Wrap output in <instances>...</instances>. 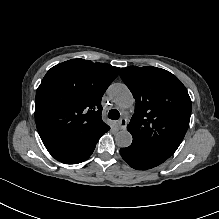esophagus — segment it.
<instances>
[{
	"label": "esophagus",
	"mask_w": 219,
	"mask_h": 219,
	"mask_svg": "<svg viewBox=\"0 0 219 219\" xmlns=\"http://www.w3.org/2000/svg\"><path fill=\"white\" fill-rule=\"evenodd\" d=\"M127 126V120L125 118H122L119 122H118V127L121 130L126 129Z\"/></svg>",
	"instance_id": "obj_1"
}]
</instances>
